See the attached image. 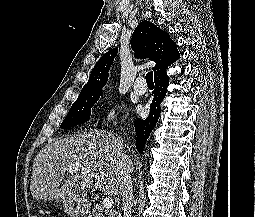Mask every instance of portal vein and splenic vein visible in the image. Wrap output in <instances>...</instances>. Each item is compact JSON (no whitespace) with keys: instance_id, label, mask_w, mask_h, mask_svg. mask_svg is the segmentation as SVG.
I'll use <instances>...</instances> for the list:
<instances>
[{"instance_id":"1","label":"portal vein and splenic vein","mask_w":255,"mask_h":217,"mask_svg":"<svg viewBox=\"0 0 255 217\" xmlns=\"http://www.w3.org/2000/svg\"><path fill=\"white\" fill-rule=\"evenodd\" d=\"M67 172L69 173H73V172H76V171H79V170H85L82 168V166L80 164H71L69 165L67 168H66ZM87 173H89V175L91 176H95V173L92 172L91 170H85ZM114 204V200L112 197L110 196H106L102 202V206L105 208V209H110L112 208Z\"/></svg>"}]
</instances>
